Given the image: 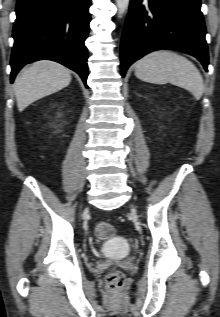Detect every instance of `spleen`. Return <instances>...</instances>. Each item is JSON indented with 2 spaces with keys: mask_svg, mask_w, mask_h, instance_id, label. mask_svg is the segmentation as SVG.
I'll list each match as a JSON object with an SVG mask.
<instances>
[{
  "mask_svg": "<svg viewBox=\"0 0 220 317\" xmlns=\"http://www.w3.org/2000/svg\"><path fill=\"white\" fill-rule=\"evenodd\" d=\"M135 75L138 79L154 83L182 87L190 91L196 99L204 92L202 75L196 66L175 52L158 50L145 55L135 65Z\"/></svg>",
  "mask_w": 220,
  "mask_h": 317,
  "instance_id": "3e777b00",
  "label": "spleen"
}]
</instances>
